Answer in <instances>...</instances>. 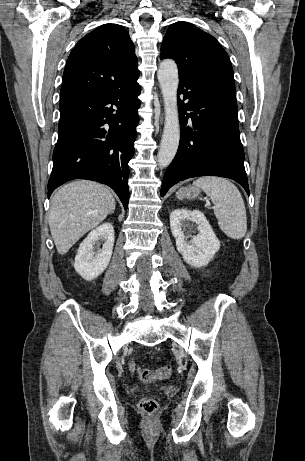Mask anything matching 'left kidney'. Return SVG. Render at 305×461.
I'll return each mask as SVG.
<instances>
[{
    "mask_svg": "<svg viewBox=\"0 0 305 461\" xmlns=\"http://www.w3.org/2000/svg\"><path fill=\"white\" fill-rule=\"evenodd\" d=\"M170 228L176 239L178 252L192 267L207 266L220 249V241L204 214L199 210H174L170 214ZM193 229L199 231L197 235L191 234ZM188 238L191 240L188 241Z\"/></svg>",
    "mask_w": 305,
    "mask_h": 461,
    "instance_id": "left-kidney-1",
    "label": "left kidney"
}]
</instances>
